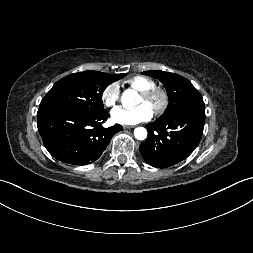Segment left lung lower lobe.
Instances as JSON below:
<instances>
[{"label":"left lung lower lobe","instance_id":"left-lung-lower-lobe-1","mask_svg":"<svg viewBox=\"0 0 253 253\" xmlns=\"http://www.w3.org/2000/svg\"><path fill=\"white\" fill-rule=\"evenodd\" d=\"M205 123L202 97L166 119L146 125L148 138L140 145V153L149 165L166 168L186 159L199 144Z\"/></svg>","mask_w":253,"mask_h":253}]
</instances>
